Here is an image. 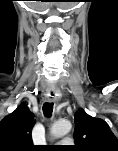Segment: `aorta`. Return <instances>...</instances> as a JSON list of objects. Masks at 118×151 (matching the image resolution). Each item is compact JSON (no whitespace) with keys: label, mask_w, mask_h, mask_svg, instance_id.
Returning a JSON list of instances; mask_svg holds the SVG:
<instances>
[{"label":"aorta","mask_w":118,"mask_h":151,"mask_svg":"<svg viewBox=\"0 0 118 151\" xmlns=\"http://www.w3.org/2000/svg\"><path fill=\"white\" fill-rule=\"evenodd\" d=\"M72 124L68 120L56 121L51 127V135L60 138L71 131Z\"/></svg>","instance_id":"1"}]
</instances>
